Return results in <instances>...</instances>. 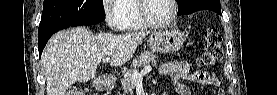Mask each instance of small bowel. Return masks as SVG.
I'll use <instances>...</instances> for the list:
<instances>
[{"label": "small bowel", "instance_id": "small-bowel-1", "mask_svg": "<svg viewBox=\"0 0 277 95\" xmlns=\"http://www.w3.org/2000/svg\"><path fill=\"white\" fill-rule=\"evenodd\" d=\"M161 75H169L173 82V87L176 94L191 95L190 89L184 84V80H188L200 85L219 86V79L207 72L196 71L192 72L189 64L178 60H171L163 63L159 67ZM216 94H224L223 91H218Z\"/></svg>", "mask_w": 277, "mask_h": 95}]
</instances>
